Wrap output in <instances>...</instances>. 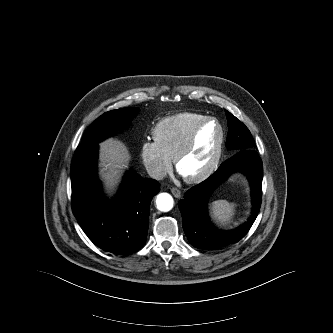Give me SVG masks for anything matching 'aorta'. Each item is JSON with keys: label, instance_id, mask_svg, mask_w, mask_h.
<instances>
[{"label": "aorta", "instance_id": "762f6f07", "mask_svg": "<svg viewBox=\"0 0 333 333\" xmlns=\"http://www.w3.org/2000/svg\"><path fill=\"white\" fill-rule=\"evenodd\" d=\"M156 205L158 210L162 212H168L173 208L174 201L170 194L160 193L157 195Z\"/></svg>", "mask_w": 333, "mask_h": 333}]
</instances>
